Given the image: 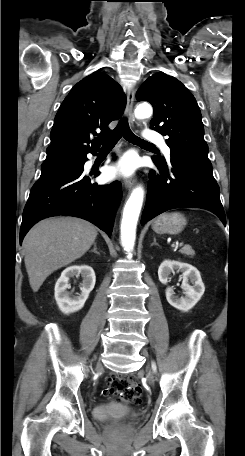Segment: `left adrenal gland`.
I'll use <instances>...</instances> for the list:
<instances>
[{"label": "left adrenal gland", "instance_id": "1", "mask_svg": "<svg viewBox=\"0 0 245 456\" xmlns=\"http://www.w3.org/2000/svg\"><path fill=\"white\" fill-rule=\"evenodd\" d=\"M153 245L159 246V244L156 242V238H155V237H154V239H153V243L151 244V246H153Z\"/></svg>", "mask_w": 245, "mask_h": 456}]
</instances>
